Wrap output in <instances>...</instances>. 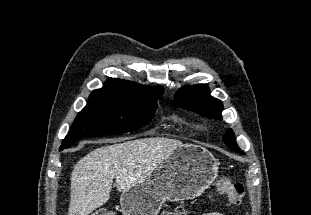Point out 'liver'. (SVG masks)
<instances>
[{
	"instance_id": "1",
	"label": "liver",
	"mask_w": 311,
	"mask_h": 215,
	"mask_svg": "<svg viewBox=\"0 0 311 215\" xmlns=\"http://www.w3.org/2000/svg\"><path fill=\"white\" fill-rule=\"evenodd\" d=\"M121 141L124 140L96 148L74 166L68 215H89L109 200L114 179L116 189L124 192L183 145L179 140L164 137Z\"/></svg>"
}]
</instances>
